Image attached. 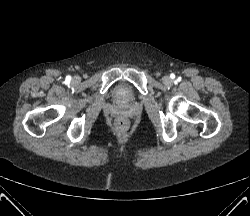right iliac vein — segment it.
Returning a JSON list of instances; mask_svg holds the SVG:
<instances>
[{
    "label": "right iliac vein",
    "instance_id": "63e3f726",
    "mask_svg": "<svg viewBox=\"0 0 250 216\" xmlns=\"http://www.w3.org/2000/svg\"><path fill=\"white\" fill-rule=\"evenodd\" d=\"M73 82H74V83H78V82H79V78H78V77H74V78H73Z\"/></svg>",
    "mask_w": 250,
    "mask_h": 216
}]
</instances>
